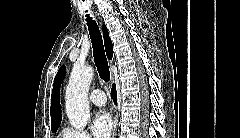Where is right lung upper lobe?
Listing matches in <instances>:
<instances>
[{"instance_id": "cb5924a9", "label": "right lung upper lobe", "mask_w": 240, "mask_h": 138, "mask_svg": "<svg viewBox=\"0 0 240 138\" xmlns=\"http://www.w3.org/2000/svg\"><path fill=\"white\" fill-rule=\"evenodd\" d=\"M102 31H103L104 44H105L107 57L108 59H112V53H113L112 42L105 25L102 26ZM65 74H66V69H65V66L63 65L57 72V75L54 80L53 90H52L51 108H50L52 126L60 125L61 123L62 115H61L59 92H60V85L65 77Z\"/></svg>"}]
</instances>
